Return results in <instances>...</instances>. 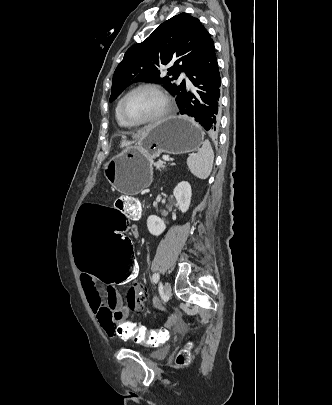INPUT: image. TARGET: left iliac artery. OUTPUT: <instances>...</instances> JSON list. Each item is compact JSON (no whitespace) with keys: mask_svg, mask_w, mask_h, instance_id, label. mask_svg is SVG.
I'll return each instance as SVG.
<instances>
[{"mask_svg":"<svg viewBox=\"0 0 332 405\" xmlns=\"http://www.w3.org/2000/svg\"><path fill=\"white\" fill-rule=\"evenodd\" d=\"M159 279H160L159 274H158V273H154L153 276H152L153 282H154V283H157V282L159 281Z\"/></svg>","mask_w":332,"mask_h":405,"instance_id":"1","label":"left iliac artery"}]
</instances>
